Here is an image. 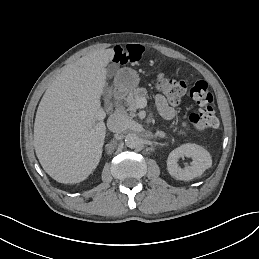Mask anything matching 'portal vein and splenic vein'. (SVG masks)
<instances>
[{"instance_id":"1","label":"portal vein and splenic vein","mask_w":259,"mask_h":259,"mask_svg":"<svg viewBox=\"0 0 259 259\" xmlns=\"http://www.w3.org/2000/svg\"><path fill=\"white\" fill-rule=\"evenodd\" d=\"M147 106V100L145 97H142L137 100V108H145ZM98 119H103L105 117V112H99L97 115Z\"/></svg>"}]
</instances>
